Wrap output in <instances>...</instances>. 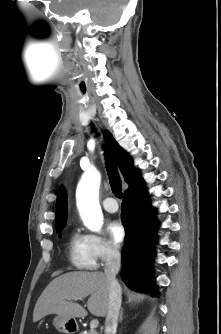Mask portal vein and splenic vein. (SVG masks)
Returning a JSON list of instances; mask_svg holds the SVG:
<instances>
[{
	"label": "portal vein and splenic vein",
	"mask_w": 221,
	"mask_h": 334,
	"mask_svg": "<svg viewBox=\"0 0 221 334\" xmlns=\"http://www.w3.org/2000/svg\"><path fill=\"white\" fill-rule=\"evenodd\" d=\"M77 300V299H75ZM99 324V321L97 319H93L91 322H90V328L91 330H94Z\"/></svg>",
	"instance_id": "obj_1"
}]
</instances>
